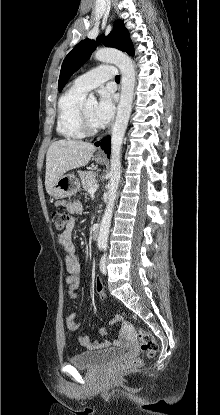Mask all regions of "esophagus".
<instances>
[{"mask_svg": "<svg viewBox=\"0 0 220 415\" xmlns=\"http://www.w3.org/2000/svg\"><path fill=\"white\" fill-rule=\"evenodd\" d=\"M98 153H99V154H102V153H103V151H102V150H99V151H98Z\"/></svg>", "mask_w": 220, "mask_h": 415, "instance_id": "1", "label": "esophagus"}]
</instances>
